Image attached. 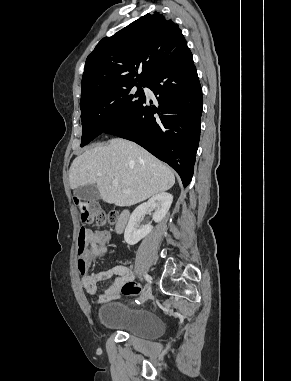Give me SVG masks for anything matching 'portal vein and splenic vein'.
Masks as SVG:
<instances>
[{"mask_svg": "<svg viewBox=\"0 0 291 381\" xmlns=\"http://www.w3.org/2000/svg\"><path fill=\"white\" fill-rule=\"evenodd\" d=\"M112 183H113V185H114V186H118V185H119V182H118V180H113V182H112Z\"/></svg>", "mask_w": 291, "mask_h": 381, "instance_id": "18ae733b", "label": "portal vein and splenic vein"}]
</instances>
